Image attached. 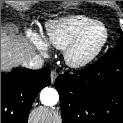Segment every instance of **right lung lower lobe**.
<instances>
[{
	"label": "right lung lower lobe",
	"mask_w": 123,
	"mask_h": 123,
	"mask_svg": "<svg viewBox=\"0 0 123 123\" xmlns=\"http://www.w3.org/2000/svg\"><path fill=\"white\" fill-rule=\"evenodd\" d=\"M50 82L47 68L1 73V123H27L35 97Z\"/></svg>",
	"instance_id": "obj_1"
}]
</instances>
